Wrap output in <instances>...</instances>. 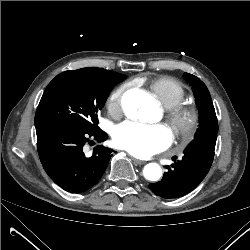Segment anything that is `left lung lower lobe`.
<instances>
[{"mask_svg":"<svg viewBox=\"0 0 250 250\" xmlns=\"http://www.w3.org/2000/svg\"><path fill=\"white\" fill-rule=\"evenodd\" d=\"M217 134L195 138L184 150L181 160L175 161L161 181L150 189L163 198L180 197L194 189L208 173L214 158ZM176 157L173 158L175 160Z\"/></svg>","mask_w":250,"mask_h":250,"instance_id":"left-lung-lower-lobe-1","label":"left lung lower lobe"}]
</instances>
